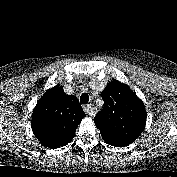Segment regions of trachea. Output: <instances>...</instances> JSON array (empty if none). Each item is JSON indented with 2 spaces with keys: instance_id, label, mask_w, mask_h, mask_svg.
I'll list each match as a JSON object with an SVG mask.
<instances>
[{
  "instance_id": "obj_1",
  "label": "trachea",
  "mask_w": 177,
  "mask_h": 177,
  "mask_svg": "<svg viewBox=\"0 0 177 177\" xmlns=\"http://www.w3.org/2000/svg\"><path fill=\"white\" fill-rule=\"evenodd\" d=\"M89 101V96L87 93H82L80 96V103L81 104H87Z\"/></svg>"
}]
</instances>
